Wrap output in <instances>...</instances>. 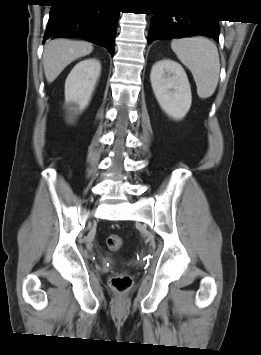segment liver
Here are the masks:
<instances>
[{
  "mask_svg": "<svg viewBox=\"0 0 261 355\" xmlns=\"http://www.w3.org/2000/svg\"><path fill=\"white\" fill-rule=\"evenodd\" d=\"M91 43L56 39L46 43L43 53L44 73L48 83H52L58 75L74 60L90 54Z\"/></svg>",
  "mask_w": 261,
  "mask_h": 355,
  "instance_id": "obj_1",
  "label": "liver"
}]
</instances>
